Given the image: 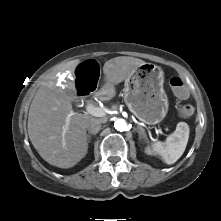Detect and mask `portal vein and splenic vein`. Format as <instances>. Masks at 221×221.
I'll return each mask as SVG.
<instances>
[{
  "label": "portal vein and splenic vein",
  "mask_w": 221,
  "mask_h": 221,
  "mask_svg": "<svg viewBox=\"0 0 221 221\" xmlns=\"http://www.w3.org/2000/svg\"><path fill=\"white\" fill-rule=\"evenodd\" d=\"M86 111H87L88 114H91L92 116H95V117H104L107 114L106 109L96 107L91 103L87 104ZM68 123H69V117L66 120V126L68 125Z\"/></svg>",
  "instance_id": "obj_1"
}]
</instances>
